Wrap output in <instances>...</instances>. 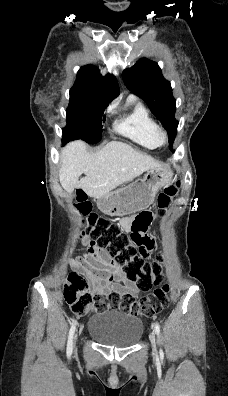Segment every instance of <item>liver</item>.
<instances>
[{
    "mask_svg": "<svg viewBox=\"0 0 228 396\" xmlns=\"http://www.w3.org/2000/svg\"><path fill=\"white\" fill-rule=\"evenodd\" d=\"M59 180L69 193L82 189L89 197L109 193L123 182L145 171L164 165L130 145L112 141L98 152L90 153L85 142L78 140L66 145L61 152ZM85 177L79 180V177Z\"/></svg>",
    "mask_w": 228,
    "mask_h": 396,
    "instance_id": "liver-1",
    "label": "liver"
}]
</instances>
